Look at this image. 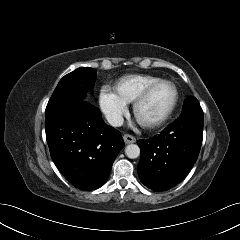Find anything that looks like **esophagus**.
<instances>
[{"mask_svg":"<svg viewBox=\"0 0 240 240\" xmlns=\"http://www.w3.org/2000/svg\"><path fill=\"white\" fill-rule=\"evenodd\" d=\"M123 139L125 141L126 144H130V143H135L136 142V138L130 134H125L123 136Z\"/></svg>","mask_w":240,"mask_h":240,"instance_id":"esophagus-1","label":"esophagus"}]
</instances>
